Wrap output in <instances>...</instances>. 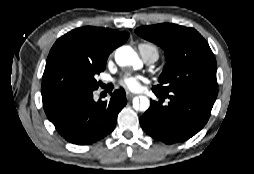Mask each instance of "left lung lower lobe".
I'll return each mask as SVG.
<instances>
[{
  "label": "left lung lower lobe",
  "mask_w": 254,
  "mask_h": 174,
  "mask_svg": "<svg viewBox=\"0 0 254 174\" xmlns=\"http://www.w3.org/2000/svg\"><path fill=\"white\" fill-rule=\"evenodd\" d=\"M153 92L160 100L169 98L167 106L151 101L140 118L143 130L166 144L186 141L199 132L208 121L217 95L194 89H180L169 94Z\"/></svg>",
  "instance_id": "left-lung-lower-lobe-1"
}]
</instances>
